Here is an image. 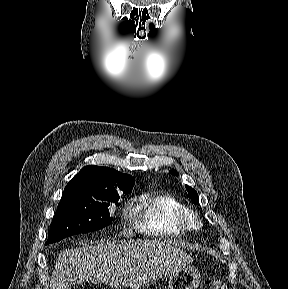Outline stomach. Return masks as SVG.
Wrapping results in <instances>:
<instances>
[{
    "label": "stomach",
    "mask_w": 288,
    "mask_h": 289,
    "mask_svg": "<svg viewBox=\"0 0 288 289\" xmlns=\"http://www.w3.org/2000/svg\"><path fill=\"white\" fill-rule=\"evenodd\" d=\"M201 282L199 270L193 266H184L170 273L169 289H197Z\"/></svg>",
    "instance_id": "1"
}]
</instances>
